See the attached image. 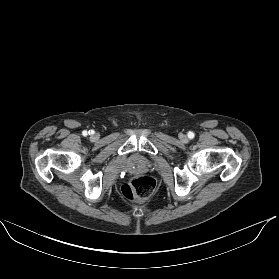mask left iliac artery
I'll return each mask as SVG.
<instances>
[{
    "mask_svg": "<svg viewBox=\"0 0 279 279\" xmlns=\"http://www.w3.org/2000/svg\"><path fill=\"white\" fill-rule=\"evenodd\" d=\"M188 136H189V138H193L194 137V133L193 132H189Z\"/></svg>",
    "mask_w": 279,
    "mask_h": 279,
    "instance_id": "44dca946",
    "label": "left iliac artery"
}]
</instances>
